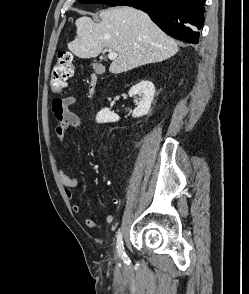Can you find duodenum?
Wrapping results in <instances>:
<instances>
[{"mask_svg":"<svg viewBox=\"0 0 249 294\" xmlns=\"http://www.w3.org/2000/svg\"><path fill=\"white\" fill-rule=\"evenodd\" d=\"M97 83H98V79L95 75H93L91 77V80H90V85H89V94L91 96L94 95L95 91H96V86H97Z\"/></svg>","mask_w":249,"mask_h":294,"instance_id":"410a0bca","label":"duodenum"}]
</instances>
